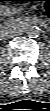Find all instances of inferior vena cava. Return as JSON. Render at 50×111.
<instances>
[{
	"instance_id": "1",
	"label": "inferior vena cava",
	"mask_w": 50,
	"mask_h": 111,
	"mask_svg": "<svg viewBox=\"0 0 50 111\" xmlns=\"http://www.w3.org/2000/svg\"><path fill=\"white\" fill-rule=\"evenodd\" d=\"M22 33L20 31H14V32H11L8 36L9 37H14V36H18V35H21Z\"/></svg>"
}]
</instances>
